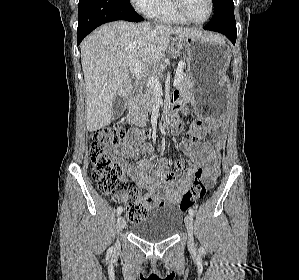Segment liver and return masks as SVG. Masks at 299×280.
<instances>
[{
  "label": "liver",
  "mask_w": 299,
  "mask_h": 280,
  "mask_svg": "<svg viewBox=\"0 0 299 280\" xmlns=\"http://www.w3.org/2000/svg\"><path fill=\"white\" fill-rule=\"evenodd\" d=\"M171 35L201 37L196 29L149 22L116 21L102 25L81 44V64L86 88V127L90 132L108 126L117 96L126 100L133 89L128 68L139 61L148 69L164 55Z\"/></svg>",
  "instance_id": "1"
}]
</instances>
